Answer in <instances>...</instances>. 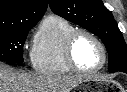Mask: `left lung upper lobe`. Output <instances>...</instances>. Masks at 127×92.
Returning a JSON list of instances; mask_svg holds the SVG:
<instances>
[{
	"label": "left lung upper lobe",
	"mask_w": 127,
	"mask_h": 92,
	"mask_svg": "<svg viewBox=\"0 0 127 92\" xmlns=\"http://www.w3.org/2000/svg\"><path fill=\"white\" fill-rule=\"evenodd\" d=\"M51 10L89 30L105 44L109 54L108 70H127V46L112 13L101 0H49Z\"/></svg>",
	"instance_id": "1"
}]
</instances>
